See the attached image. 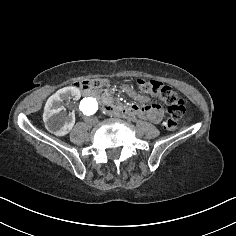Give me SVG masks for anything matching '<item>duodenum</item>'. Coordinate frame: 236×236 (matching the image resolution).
<instances>
[{
    "mask_svg": "<svg viewBox=\"0 0 236 236\" xmlns=\"http://www.w3.org/2000/svg\"><path fill=\"white\" fill-rule=\"evenodd\" d=\"M84 96H95L96 92L93 89L83 90ZM102 110L109 115H115L120 117L137 116V109L132 105L113 104L108 101L101 102Z\"/></svg>",
    "mask_w": 236,
    "mask_h": 236,
    "instance_id": "duodenum-1",
    "label": "duodenum"
}]
</instances>
